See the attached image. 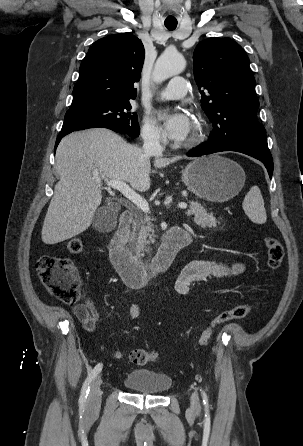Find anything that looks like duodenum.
<instances>
[{
	"label": "duodenum",
	"instance_id": "1",
	"mask_svg": "<svg viewBox=\"0 0 303 446\" xmlns=\"http://www.w3.org/2000/svg\"><path fill=\"white\" fill-rule=\"evenodd\" d=\"M130 211H123L116 233L108 245L110 260L124 282L130 287H140L151 277L165 273L179 251L192 242L191 235L181 227H172L164 235L155 255L149 260L131 255L123 244V236L132 222Z\"/></svg>",
	"mask_w": 303,
	"mask_h": 446
}]
</instances>
